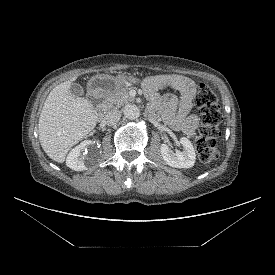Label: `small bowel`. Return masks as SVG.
<instances>
[{
	"label": "small bowel",
	"instance_id": "c3829d8e",
	"mask_svg": "<svg viewBox=\"0 0 275 275\" xmlns=\"http://www.w3.org/2000/svg\"><path fill=\"white\" fill-rule=\"evenodd\" d=\"M142 85L147 96L152 99L151 109L161 111L165 122L172 128L190 136L195 135L198 119L190 114V110L196 87L191 79L180 75L156 76L146 78ZM167 86L175 89L179 96H158V91Z\"/></svg>",
	"mask_w": 275,
	"mask_h": 275
}]
</instances>
